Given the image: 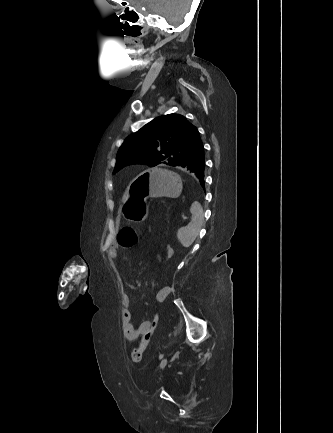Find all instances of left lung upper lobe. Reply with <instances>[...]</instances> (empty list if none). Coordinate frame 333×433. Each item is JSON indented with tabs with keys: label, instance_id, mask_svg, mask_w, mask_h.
<instances>
[{
	"label": "left lung upper lobe",
	"instance_id": "left-lung-upper-lobe-1",
	"mask_svg": "<svg viewBox=\"0 0 333 433\" xmlns=\"http://www.w3.org/2000/svg\"><path fill=\"white\" fill-rule=\"evenodd\" d=\"M201 144L199 131L184 116L163 115L126 138L117 153L114 173L134 163L178 166Z\"/></svg>",
	"mask_w": 333,
	"mask_h": 433
}]
</instances>
